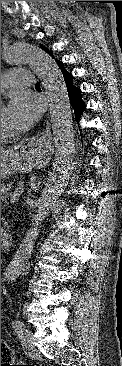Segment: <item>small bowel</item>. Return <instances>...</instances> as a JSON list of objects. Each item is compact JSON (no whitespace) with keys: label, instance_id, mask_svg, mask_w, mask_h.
I'll use <instances>...</instances> for the list:
<instances>
[{"label":"small bowel","instance_id":"c3829d8e","mask_svg":"<svg viewBox=\"0 0 122 366\" xmlns=\"http://www.w3.org/2000/svg\"><path fill=\"white\" fill-rule=\"evenodd\" d=\"M19 273V271L17 270V268H15V267H11V268H9V270L7 271V273H6V277L7 278H11V277H13V276H15L16 274H18Z\"/></svg>","mask_w":122,"mask_h":366}]
</instances>
